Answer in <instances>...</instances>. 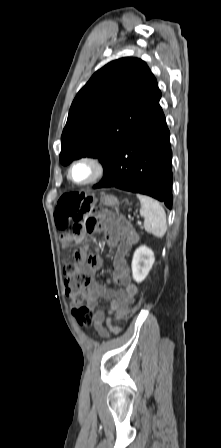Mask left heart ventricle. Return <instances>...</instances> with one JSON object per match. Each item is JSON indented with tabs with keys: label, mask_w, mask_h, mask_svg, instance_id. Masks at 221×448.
Wrapping results in <instances>:
<instances>
[{
	"label": "left heart ventricle",
	"mask_w": 221,
	"mask_h": 448,
	"mask_svg": "<svg viewBox=\"0 0 221 448\" xmlns=\"http://www.w3.org/2000/svg\"><path fill=\"white\" fill-rule=\"evenodd\" d=\"M72 178L77 182H84L90 179L93 174L94 170L90 165L87 164H77L72 169Z\"/></svg>",
	"instance_id": "b2bd125f"
}]
</instances>
